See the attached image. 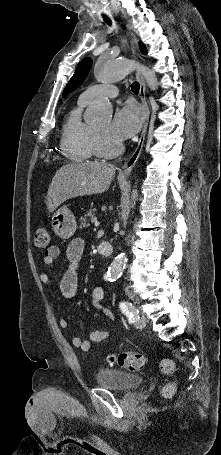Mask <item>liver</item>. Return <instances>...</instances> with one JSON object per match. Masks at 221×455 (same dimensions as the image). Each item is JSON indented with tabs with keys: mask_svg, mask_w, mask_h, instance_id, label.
I'll return each mask as SVG.
<instances>
[{
	"mask_svg": "<svg viewBox=\"0 0 221 455\" xmlns=\"http://www.w3.org/2000/svg\"><path fill=\"white\" fill-rule=\"evenodd\" d=\"M116 168L101 162L70 163L54 175L47 192V209L54 212L66 200L108 190Z\"/></svg>",
	"mask_w": 221,
	"mask_h": 455,
	"instance_id": "liver-1",
	"label": "liver"
}]
</instances>
